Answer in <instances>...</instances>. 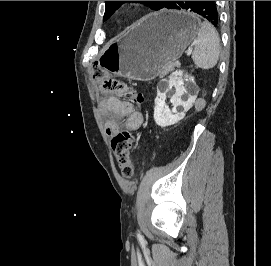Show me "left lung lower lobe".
<instances>
[{
  "instance_id": "1",
  "label": "left lung lower lobe",
  "mask_w": 271,
  "mask_h": 266,
  "mask_svg": "<svg viewBox=\"0 0 271 266\" xmlns=\"http://www.w3.org/2000/svg\"><path fill=\"white\" fill-rule=\"evenodd\" d=\"M167 9H186L198 13L216 28L219 26V14L216 1H171Z\"/></svg>"
}]
</instances>
